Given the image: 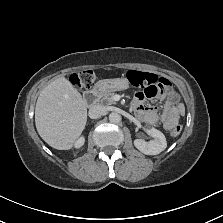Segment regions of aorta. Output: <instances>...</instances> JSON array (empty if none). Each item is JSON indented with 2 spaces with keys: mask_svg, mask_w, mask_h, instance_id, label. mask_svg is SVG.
I'll list each match as a JSON object with an SVG mask.
<instances>
[{
  "mask_svg": "<svg viewBox=\"0 0 223 223\" xmlns=\"http://www.w3.org/2000/svg\"><path fill=\"white\" fill-rule=\"evenodd\" d=\"M109 121L112 123H118L121 121V116L118 113H110L109 115Z\"/></svg>",
  "mask_w": 223,
  "mask_h": 223,
  "instance_id": "762f6f07",
  "label": "aorta"
}]
</instances>
